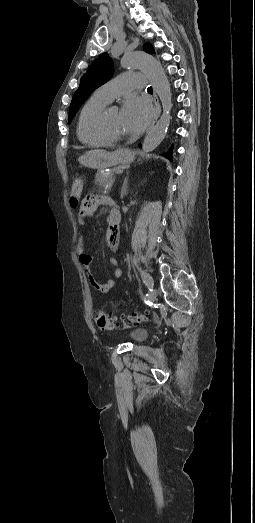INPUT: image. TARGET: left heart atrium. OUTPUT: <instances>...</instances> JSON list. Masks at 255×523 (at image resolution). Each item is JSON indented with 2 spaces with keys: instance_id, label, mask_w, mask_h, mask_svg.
I'll return each instance as SVG.
<instances>
[{
  "instance_id": "left-heart-atrium-1",
  "label": "left heart atrium",
  "mask_w": 255,
  "mask_h": 523,
  "mask_svg": "<svg viewBox=\"0 0 255 523\" xmlns=\"http://www.w3.org/2000/svg\"><path fill=\"white\" fill-rule=\"evenodd\" d=\"M124 110L130 120L133 134L141 132L152 117V106L145 98L137 96L127 98Z\"/></svg>"
}]
</instances>
